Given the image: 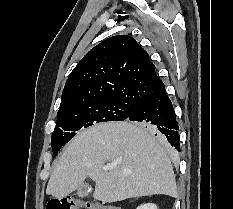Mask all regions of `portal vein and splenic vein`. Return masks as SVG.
Wrapping results in <instances>:
<instances>
[{
    "instance_id": "portal-vein-and-splenic-vein-1",
    "label": "portal vein and splenic vein",
    "mask_w": 233,
    "mask_h": 209,
    "mask_svg": "<svg viewBox=\"0 0 233 209\" xmlns=\"http://www.w3.org/2000/svg\"><path fill=\"white\" fill-rule=\"evenodd\" d=\"M107 170H112L113 169V166L111 164H107L106 167H105Z\"/></svg>"
}]
</instances>
